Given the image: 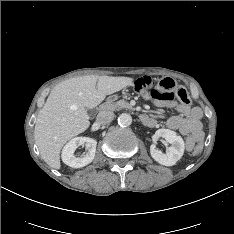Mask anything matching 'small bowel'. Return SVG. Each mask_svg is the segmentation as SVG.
I'll use <instances>...</instances> for the list:
<instances>
[{"label": "small bowel", "instance_id": "obj_1", "mask_svg": "<svg viewBox=\"0 0 234 234\" xmlns=\"http://www.w3.org/2000/svg\"><path fill=\"white\" fill-rule=\"evenodd\" d=\"M142 95L145 99L152 100L158 107L176 109L178 115L168 118L166 126L171 130H179L183 135L187 136L189 148L196 141H200L203 138L202 123L200 121L202 111L200 108L179 104L174 99H157L152 97L148 92H143ZM145 118L144 123L146 125L150 127L157 125L155 119L148 116H145Z\"/></svg>", "mask_w": 234, "mask_h": 234}]
</instances>
